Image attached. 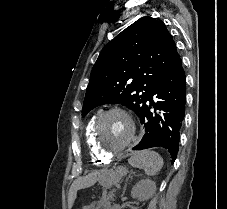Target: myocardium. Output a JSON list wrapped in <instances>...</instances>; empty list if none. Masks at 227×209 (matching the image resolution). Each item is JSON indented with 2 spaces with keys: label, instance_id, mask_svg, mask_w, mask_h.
<instances>
[{
  "label": "myocardium",
  "instance_id": "1",
  "mask_svg": "<svg viewBox=\"0 0 227 209\" xmlns=\"http://www.w3.org/2000/svg\"><path fill=\"white\" fill-rule=\"evenodd\" d=\"M111 114H121L128 120V122L131 126V135H130L129 139L123 145H121L115 149L108 150L102 145V143L99 139V131H100V128H101V125H102V122L104 121V119ZM136 134H137L136 125H135V122L133 121L132 117L130 116V114L123 109L114 107V108H110V109H107V110L101 112L96 117L93 129H92V140H93L94 146L96 147V149L98 150V152L101 155L112 158V157L120 154L122 151H124L130 145L131 141L136 137Z\"/></svg>",
  "mask_w": 227,
  "mask_h": 209
}]
</instances>
